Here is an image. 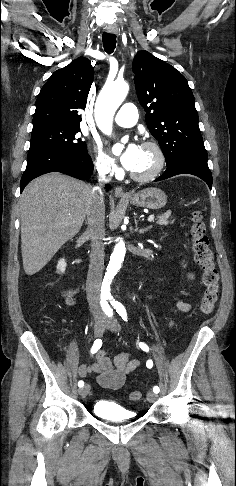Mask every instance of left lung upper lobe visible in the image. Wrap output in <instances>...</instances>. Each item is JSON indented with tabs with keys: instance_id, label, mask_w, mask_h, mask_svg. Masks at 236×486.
I'll return each mask as SVG.
<instances>
[{
	"instance_id": "left-lung-upper-lobe-1",
	"label": "left lung upper lobe",
	"mask_w": 236,
	"mask_h": 486,
	"mask_svg": "<svg viewBox=\"0 0 236 486\" xmlns=\"http://www.w3.org/2000/svg\"><path fill=\"white\" fill-rule=\"evenodd\" d=\"M133 72L147 126L159 141L167 166L184 160L207 163L195 99L186 78L147 51L136 54Z\"/></svg>"
}]
</instances>
